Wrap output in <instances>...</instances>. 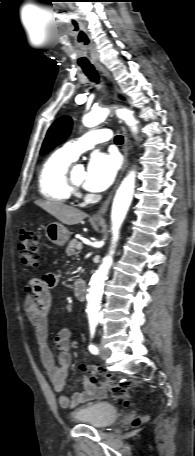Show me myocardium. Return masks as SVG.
Returning <instances> with one entry per match:
<instances>
[{"label":"myocardium","instance_id":"obj_1","mask_svg":"<svg viewBox=\"0 0 195 456\" xmlns=\"http://www.w3.org/2000/svg\"><path fill=\"white\" fill-rule=\"evenodd\" d=\"M67 182L74 192H77L81 189V185L75 183L71 177V171L67 172Z\"/></svg>","mask_w":195,"mask_h":456}]
</instances>
